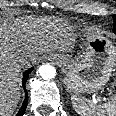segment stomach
Listing matches in <instances>:
<instances>
[{
  "mask_svg": "<svg viewBox=\"0 0 116 116\" xmlns=\"http://www.w3.org/2000/svg\"><path fill=\"white\" fill-rule=\"evenodd\" d=\"M73 48L69 44L63 52H72ZM59 60L65 68V84L71 91L92 92L108 83L116 66V50L111 42L93 38L76 59L62 53Z\"/></svg>",
  "mask_w": 116,
  "mask_h": 116,
  "instance_id": "0dacf381",
  "label": "stomach"
}]
</instances>
